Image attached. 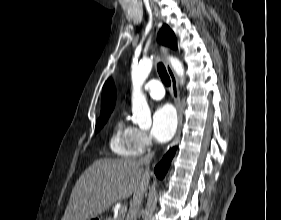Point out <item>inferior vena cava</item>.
<instances>
[{"label": "inferior vena cava", "mask_w": 281, "mask_h": 220, "mask_svg": "<svg viewBox=\"0 0 281 220\" xmlns=\"http://www.w3.org/2000/svg\"><path fill=\"white\" fill-rule=\"evenodd\" d=\"M154 153L155 152L148 153L147 155H145L144 157H142L138 160V163L141 166L146 167V170H145L146 176L149 175V173H148L149 164L154 156ZM147 187H148V182H146L145 180H142L141 185L135 190V192L133 194V199L130 202V208H129L126 220H137V216H138V213L140 210V205L143 200V196H144V193H145Z\"/></svg>", "instance_id": "1"}]
</instances>
